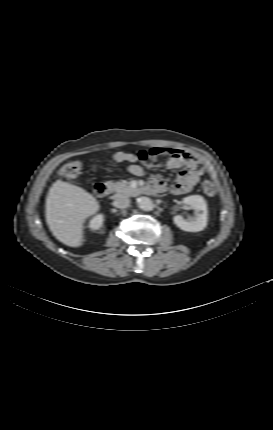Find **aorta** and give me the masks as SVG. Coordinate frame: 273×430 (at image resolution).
<instances>
[{"mask_svg": "<svg viewBox=\"0 0 273 430\" xmlns=\"http://www.w3.org/2000/svg\"><path fill=\"white\" fill-rule=\"evenodd\" d=\"M138 207L143 211L153 210V202L150 198L142 196L137 199Z\"/></svg>", "mask_w": 273, "mask_h": 430, "instance_id": "aorta-1", "label": "aorta"}]
</instances>
